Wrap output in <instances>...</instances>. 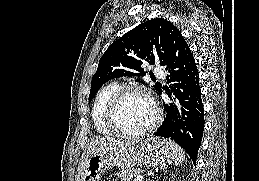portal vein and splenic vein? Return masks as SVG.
<instances>
[{
  "instance_id": "obj_1",
  "label": "portal vein and splenic vein",
  "mask_w": 259,
  "mask_h": 181,
  "mask_svg": "<svg viewBox=\"0 0 259 181\" xmlns=\"http://www.w3.org/2000/svg\"><path fill=\"white\" fill-rule=\"evenodd\" d=\"M143 180V177L142 176H138L134 179V181H142Z\"/></svg>"
}]
</instances>
